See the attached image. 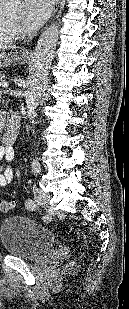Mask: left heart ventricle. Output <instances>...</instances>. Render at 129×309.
I'll use <instances>...</instances> for the list:
<instances>
[{
	"mask_svg": "<svg viewBox=\"0 0 129 309\" xmlns=\"http://www.w3.org/2000/svg\"><path fill=\"white\" fill-rule=\"evenodd\" d=\"M10 19H11L14 23H16V24L20 25V22H21V16H18V15L11 16V17H10Z\"/></svg>",
	"mask_w": 129,
	"mask_h": 309,
	"instance_id": "left-heart-ventricle-1",
	"label": "left heart ventricle"
}]
</instances>
